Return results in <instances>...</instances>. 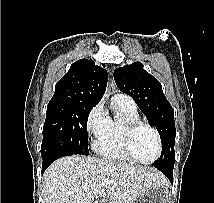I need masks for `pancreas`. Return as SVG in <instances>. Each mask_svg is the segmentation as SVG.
Here are the masks:
<instances>
[{
	"mask_svg": "<svg viewBox=\"0 0 214 203\" xmlns=\"http://www.w3.org/2000/svg\"><path fill=\"white\" fill-rule=\"evenodd\" d=\"M109 203H125V202H123V201H121V200H113V201H111V202H109Z\"/></svg>",
	"mask_w": 214,
	"mask_h": 203,
	"instance_id": "cf45deb5",
	"label": "pancreas"
}]
</instances>
